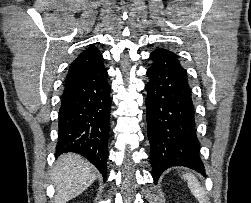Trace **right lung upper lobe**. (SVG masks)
I'll use <instances>...</instances> for the list:
<instances>
[{"instance_id": "1", "label": "right lung upper lobe", "mask_w": 251, "mask_h": 203, "mask_svg": "<svg viewBox=\"0 0 251 203\" xmlns=\"http://www.w3.org/2000/svg\"><path fill=\"white\" fill-rule=\"evenodd\" d=\"M103 57L98 49L91 45L72 62L65 81V87L72 85L84 76L103 65Z\"/></svg>"}]
</instances>
